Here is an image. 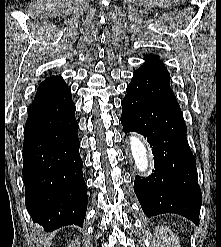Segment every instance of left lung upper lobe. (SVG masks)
<instances>
[{
  "label": "left lung upper lobe",
  "mask_w": 221,
  "mask_h": 247,
  "mask_svg": "<svg viewBox=\"0 0 221 247\" xmlns=\"http://www.w3.org/2000/svg\"><path fill=\"white\" fill-rule=\"evenodd\" d=\"M145 63L133 75L131 84L135 90L165 103L179 106L170 88V75L159 56H146Z\"/></svg>",
  "instance_id": "1"
}]
</instances>
